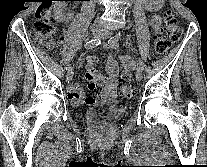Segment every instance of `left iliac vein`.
Here are the masks:
<instances>
[{
	"instance_id": "4c4485c4",
	"label": "left iliac vein",
	"mask_w": 207,
	"mask_h": 167,
	"mask_svg": "<svg viewBox=\"0 0 207 167\" xmlns=\"http://www.w3.org/2000/svg\"><path fill=\"white\" fill-rule=\"evenodd\" d=\"M112 32L109 30H104L102 33V37L105 39H109V42L111 41ZM111 45V44H110ZM136 79L140 81L142 79V70L138 69L136 72Z\"/></svg>"
}]
</instances>
